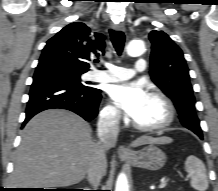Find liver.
Returning <instances> with one entry per match:
<instances>
[{
  "mask_svg": "<svg viewBox=\"0 0 218 191\" xmlns=\"http://www.w3.org/2000/svg\"><path fill=\"white\" fill-rule=\"evenodd\" d=\"M91 133L90 125L70 111L50 109L37 114L22 131L14 156L12 185L46 189L81 182L98 149ZM172 141L169 137L141 136L131 146Z\"/></svg>",
  "mask_w": 218,
  "mask_h": 191,
  "instance_id": "liver-1",
  "label": "liver"
}]
</instances>
